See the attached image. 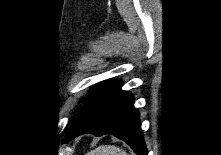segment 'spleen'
Listing matches in <instances>:
<instances>
[{"instance_id": "3e777b00", "label": "spleen", "mask_w": 221, "mask_h": 155, "mask_svg": "<svg viewBox=\"0 0 221 155\" xmlns=\"http://www.w3.org/2000/svg\"><path fill=\"white\" fill-rule=\"evenodd\" d=\"M87 155H127V153L114 145H103L87 153Z\"/></svg>"}]
</instances>
